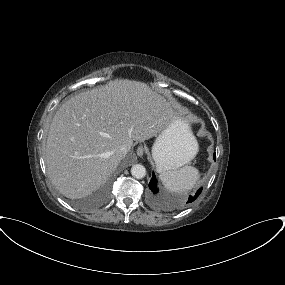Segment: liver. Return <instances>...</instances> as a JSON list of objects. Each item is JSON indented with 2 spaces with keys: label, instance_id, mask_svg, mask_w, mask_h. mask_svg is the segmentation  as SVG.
Instances as JSON below:
<instances>
[{
  "label": "liver",
  "instance_id": "obj_1",
  "mask_svg": "<svg viewBox=\"0 0 285 285\" xmlns=\"http://www.w3.org/2000/svg\"><path fill=\"white\" fill-rule=\"evenodd\" d=\"M173 102L147 84L117 79L66 101L47 137V173L64 196L76 199L103 185L133 141L160 135L171 124Z\"/></svg>",
  "mask_w": 285,
  "mask_h": 285
}]
</instances>
